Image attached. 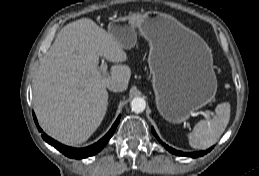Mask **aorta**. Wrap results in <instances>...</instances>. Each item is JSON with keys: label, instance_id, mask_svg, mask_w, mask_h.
Instances as JSON below:
<instances>
[{"label": "aorta", "instance_id": "obj_1", "mask_svg": "<svg viewBox=\"0 0 259 176\" xmlns=\"http://www.w3.org/2000/svg\"><path fill=\"white\" fill-rule=\"evenodd\" d=\"M131 109L135 113H141L145 110L146 108V102L143 98L141 97H135L132 99L130 103Z\"/></svg>", "mask_w": 259, "mask_h": 176}]
</instances>
